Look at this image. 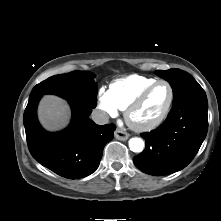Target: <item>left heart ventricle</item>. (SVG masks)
<instances>
[{
    "label": "left heart ventricle",
    "mask_w": 221,
    "mask_h": 221,
    "mask_svg": "<svg viewBox=\"0 0 221 221\" xmlns=\"http://www.w3.org/2000/svg\"><path fill=\"white\" fill-rule=\"evenodd\" d=\"M169 100V88L165 84L156 86L135 113L138 122H150L157 119Z\"/></svg>",
    "instance_id": "left-heart-ventricle-1"
}]
</instances>
